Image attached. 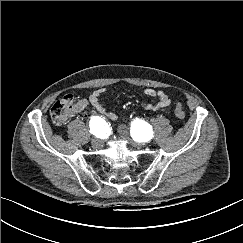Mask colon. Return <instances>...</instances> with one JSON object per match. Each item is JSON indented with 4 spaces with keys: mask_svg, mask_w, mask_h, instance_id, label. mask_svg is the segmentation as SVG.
Masks as SVG:
<instances>
[{
    "mask_svg": "<svg viewBox=\"0 0 243 243\" xmlns=\"http://www.w3.org/2000/svg\"><path fill=\"white\" fill-rule=\"evenodd\" d=\"M74 106V97L72 95H65L57 100L50 111L53 123L58 126L65 124L71 116ZM174 114L179 120L185 118L186 114L180 103L176 104Z\"/></svg>",
    "mask_w": 243,
    "mask_h": 243,
    "instance_id": "colon-1",
    "label": "colon"
}]
</instances>
